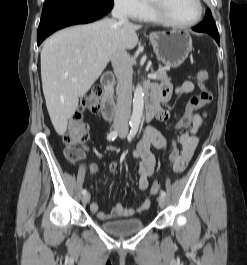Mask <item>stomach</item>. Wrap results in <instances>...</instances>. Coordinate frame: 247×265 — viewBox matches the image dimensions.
<instances>
[{"mask_svg":"<svg viewBox=\"0 0 247 265\" xmlns=\"http://www.w3.org/2000/svg\"><path fill=\"white\" fill-rule=\"evenodd\" d=\"M156 57L166 67H179L192 51V38L184 30L154 32L149 35Z\"/></svg>","mask_w":247,"mask_h":265,"instance_id":"0dacf381","label":"stomach"}]
</instances>
